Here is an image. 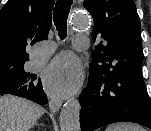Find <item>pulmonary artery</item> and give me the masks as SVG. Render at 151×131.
<instances>
[{
    "label": "pulmonary artery",
    "mask_w": 151,
    "mask_h": 131,
    "mask_svg": "<svg viewBox=\"0 0 151 131\" xmlns=\"http://www.w3.org/2000/svg\"><path fill=\"white\" fill-rule=\"evenodd\" d=\"M89 40L85 35H77L75 37L74 46L77 49H86L88 47ZM53 52L52 47L48 48H42L36 52V66L41 65L45 60L48 59V57Z\"/></svg>",
    "instance_id": "pulmonary-artery-1"
}]
</instances>
